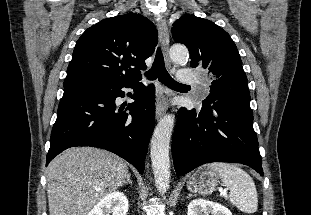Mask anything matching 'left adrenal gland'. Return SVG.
Returning <instances> with one entry per match:
<instances>
[{"instance_id":"a2214340","label":"left adrenal gland","mask_w":311,"mask_h":215,"mask_svg":"<svg viewBox=\"0 0 311 215\" xmlns=\"http://www.w3.org/2000/svg\"><path fill=\"white\" fill-rule=\"evenodd\" d=\"M192 195L191 194H188V197L187 198H190Z\"/></svg>"}]
</instances>
